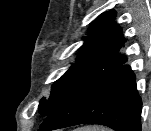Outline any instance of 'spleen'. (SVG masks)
I'll list each match as a JSON object with an SVG mask.
<instances>
[{
	"label": "spleen",
	"mask_w": 151,
	"mask_h": 131,
	"mask_svg": "<svg viewBox=\"0 0 151 131\" xmlns=\"http://www.w3.org/2000/svg\"><path fill=\"white\" fill-rule=\"evenodd\" d=\"M76 131H109V130L105 128L97 127V126H94V127L87 126V127L80 128Z\"/></svg>",
	"instance_id": "spleen-1"
}]
</instances>
